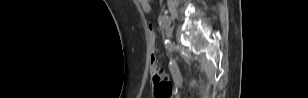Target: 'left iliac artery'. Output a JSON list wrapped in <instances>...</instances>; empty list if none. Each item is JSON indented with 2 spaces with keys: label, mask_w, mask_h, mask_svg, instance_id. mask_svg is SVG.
I'll list each match as a JSON object with an SVG mask.
<instances>
[{
  "label": "left iliac artery",
  "mask_w": 308,
  "mask_h": 98,
  "mask_svg": "<svg viewBox=\"0 0 308 98\" xmlns=\"http://www.w3.org/2000/svg\"><path fill=\"white\" fill-rule=\"evenodd\" d=\"M159 24H160V26H162V27L169 26V24H170V19H169V17H168L167 15L161 16L160 19H159Z\"/></svg>",
  "instance_id": "left-iliac-artery-1"
}]
</instances>
